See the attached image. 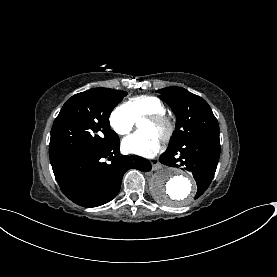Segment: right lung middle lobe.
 <instances>
[{
	"mask_svg": "<svg viewBox=\"0 0 277 277\" xmlns=\"http://www.w3.org/2000/svg\"><path fill=\"white\" fill-rule=\"evenodd\" d=\"M126 95L125 91L93 88L68 99L51 129L50 159L81 149H101L119 141L110 129L109 116Z\"/></svg>",
	"mask_w": 277,
	"mask_h": 277,
	"instance_id": "obj_1",
	"label": "right lung middle lobe"
}]
</instances>
